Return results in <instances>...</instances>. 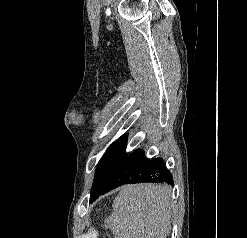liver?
Listing matches in <instances>:
<instances>
[{"label": "liver", "mask_w": 247, "mask_h": 238, "mask_svg": "<svg viewBox=\"0 0 247 238\" xmlns=\"http://www.w3.org/2000/svg\"><path fill=\"white\" fill-rule=\"evenodd\" d=\"M105 227L114 238H167L171 231V188L160 184L124 185Z\"/></svg>", "instance_id": "obj_1"}]
</instances>
